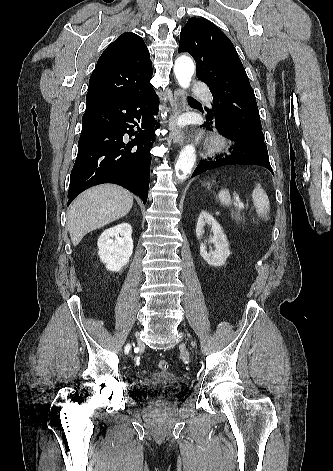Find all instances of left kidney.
<instances>
[{
  "instance_id": "left-kidney-1",
  "label": "left kidney",
  "mask_w": 333,
  "mask_h": 471,
  "mask_svg": "<svg viewBox=\"0 0 333 471\" xmlns=\"http://www.w3.org/2000/svg\"><path fill=\"white\" fill-rule=\"evenodd\" d=\"M205 224H208L212 227L213 237L210 239V243L214 245V249L210 247V251H207L205 244L201 242L200 255L211 266H223L225 265L226 260L230 255L227 237L224 234L220 224L214 219V217L208 212L202 211L199 215L196 226V235L198 240H201L204 234Z\"/></svg>"
}]
</instances>
